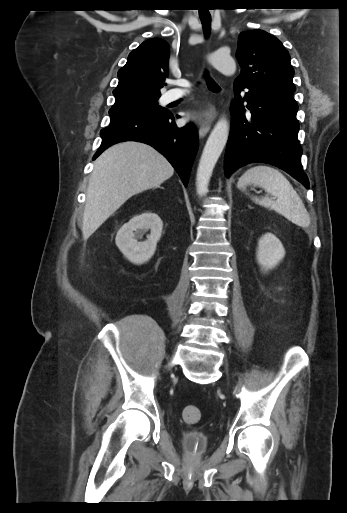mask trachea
Instances as JSON below:
<instances>
[{"mask_svg": "<svg viewBox=\"0 0 347 513\" xmlns=\"http://www.w3.org/2000/svg\"><path fill=\"white\" fill-rule=\"evenodd\" d=\"M201 23H202L204 34L206 36H208V34L210 33L211 18L210 17L201 18ZM207 87L212 92H217L220 90L219 85L212 78L207 79Z\"/></svg>", "mask_w": 347, "mask_h": 513, "instance_id": "trachea-1", "label": "trachea"}]
</instances>
